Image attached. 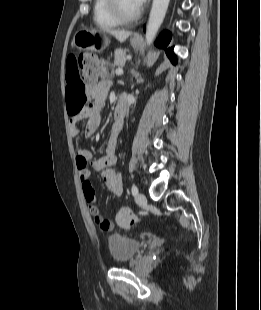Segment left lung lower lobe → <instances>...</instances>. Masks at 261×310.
I'll list each match as a JSON object with an SVG mask.
<instances>
[{"label": "left lung lower lobe", "mask_w": 261, "mask_h": 310, "mask_svg": "<svg viewBox=\"0 0 261 310\" xmlns=\"http://www.w3.org/2000/svg\"><path fill=\"white\" fill-rule=\"evenodd\" d=\"M171 37H172V35H171V33L169 31L163 32L159 36V38H158V40L156 42V46L165 49L166 54L169 57V59L172 61L173 64H176L177 59H176V56L173 53V48H168L167 49V46L170 43Z\"/></svg>", "instance_id": "1"}]
</instances>
